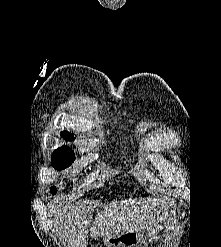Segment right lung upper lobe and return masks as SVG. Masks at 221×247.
<instances>
[{"label":"right lung upper lobe","mask_w":221,"mask_h":247,"mask_svg":"<svg viewBox=\"0 0 221 247\" xmlns=\"http://www.w3.org/2000/svg\"><path fill=\"white\" fill-rule=\"evenodd\" d=\"M61 135H62V136H66V137L74 138V136H73L71 133L67 132V131H63V132L61 133Z\"/></svg>","instance_id":"right-lung-upper-lobe-1"}]
</instances>
